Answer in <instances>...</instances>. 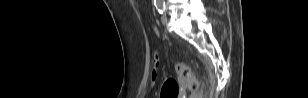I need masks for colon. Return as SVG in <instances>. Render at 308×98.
Segmentation results:
<instances>
[{
	"instance_id": "colon-1",
	"label": "colon",
	"mask_w": 308,
	"mask_h": 98,
	"mask_svg": "<svg viewBox=\"0 0 308 98\" xmlns=\"http://www.w3.org/2000/svg\"><path fill=\"white\" fill-rule=\"evenodd\" d=\"M175 70L178 75L184 78L186 85L191 92L190 98H200L202 96L198 80L193 75L190 67L184 62L175 63ZM155 77V75H153ZM178 84L173 79H167L160 90V98H177Z\"/></svg>"
}]
</instances>
